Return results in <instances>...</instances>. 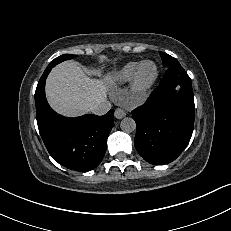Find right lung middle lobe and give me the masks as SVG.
<instances>
[{
	"label": "right lung middle lobe",
	"instance_id": "obj_1",
	"mask_svg": "<svg viewBox=\"0 0 231 231\" xmlns=\"http://www.w3.org/2000/svg\"><path fill=\"white\" fill-rule=\"evenodd\" d=\"M74 57H76V55L64 54V55H61V56L55 58L51 63H54L55 65H57L58 63H60L62 61L69 60V59H72Z\"/></svg>",
	"mask_w": 231,
	"mask_h": 231
}]
</instances>
